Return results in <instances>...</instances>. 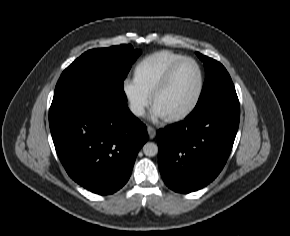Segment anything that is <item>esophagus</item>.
<instances>
[{"instance_id":"obj_1","label":"esophagus","mask_w":290,"mask_h":236,"mask_svg":"<svg viewBox=\"0 0 290 236\" xmlns=\"http://www.w3.org/2000/svg\"><path fill=\"white\" fill-rule=\"evenodd\" d=\"M148 132H149L150 137H154L155 136L156 131H155L154 128L148 127Z\"/></svg>"}]
</instances>
